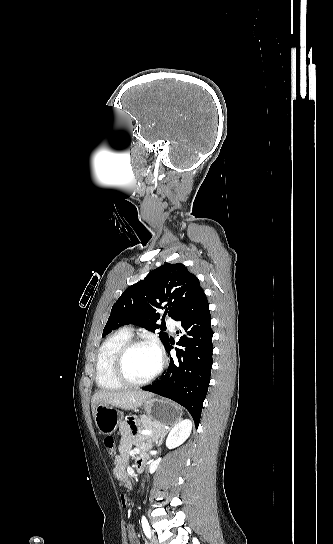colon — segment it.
<instances>
[{"instance_id": "colon-1", "label": "colon", "mask_w": 333, "mask_h": 544, "mask_svg": "<svg viewBox=\"0 0 333 544\" xmlns=\"http://www.w3.org/2000/svg\"><path fill=\"white\" fill-rule=\"evenodd\" d=\"M104 446L110 456H114L116 453L115 441L112 437L107 436L104 438Z\"/></svg>"}]
</instances>
